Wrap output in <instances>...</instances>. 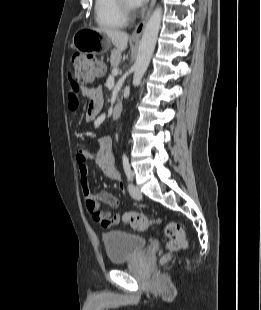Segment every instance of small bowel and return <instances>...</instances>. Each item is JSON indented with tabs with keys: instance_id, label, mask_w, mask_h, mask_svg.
Here are the masks:
<instances>
[{
	"instance_id": "1",
	"label": "small bowel",
	"mask_w": 261,
	"mask_h": 310,
	"mask_svg": "<svg viewBox=\"0 0 261 310\" xmlns=\"http://www.w3.org/2000/svg\"><path fill=\"white\" fill-rule=\"evenodd\" d=\"M75 90L84 98L88 99L89 105L86 112V119L89 122L96 120L102 108V95L99 88L90 86L75 87ZM75 101H72V107ZM96 151L89 149H79L76 152V164L79 172L80 184L85 199V205L92 218L101 223L103 227L110 228L120 223L122 216L104 212L100 204L104 203L111 208H117L119 200L108 192L93 193L90 187L88 160H94L97 167L120 187L123 186L121 176L114 165V155L111 140L101 138L96 142Z\"/></svg>"
}]
</instances>
